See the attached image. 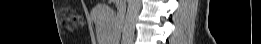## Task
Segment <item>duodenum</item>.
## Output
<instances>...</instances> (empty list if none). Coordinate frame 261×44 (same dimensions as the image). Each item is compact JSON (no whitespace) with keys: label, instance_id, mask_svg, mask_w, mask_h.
Masks as SVG:
<instances>
[{"label":"duodenum","instance_id":"410a0bca","mask_svg":"<svg viewBox=\"0 0 261 44\" xmlns=\"http://www.w3.org/2000/svg\"><path fill=\"white\" fill-rule=\"evenodd\" d=\"M123 21H124L123 12H121L120 15H119V24H120L121 27H123Z\"/></svg>","mask_w":261,"mask_h":44}]
</instances>
